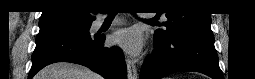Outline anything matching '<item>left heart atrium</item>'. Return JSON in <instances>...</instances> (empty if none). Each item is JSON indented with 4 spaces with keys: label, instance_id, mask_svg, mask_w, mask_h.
<instances>
[{
    "label": "left heart atrium",
    "instance_id": "left-heart-atrium-1",
    "mask_svg": "<svg viewBox=\"0 0 255 79\" xmlns=\"http://www.w3.org/2000/svg\"><path fill=\"white\" fill-rule=\"evenodd\" d=\"M111 42L114 46L121 48L131 56H137L143 47L140 31L135 28H127L116 31Z\"/></svg>",
    "mask_w": 255,
    "mask_h": 79
}]
</instances>
